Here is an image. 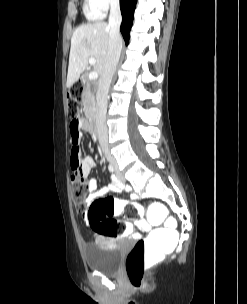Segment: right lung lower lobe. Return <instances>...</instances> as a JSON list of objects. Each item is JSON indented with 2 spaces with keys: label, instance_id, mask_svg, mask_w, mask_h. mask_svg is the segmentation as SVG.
Listing matches in <instances>:
<instances>
[{
  "label": "right lung lower lobe",
  "instance_id": "1",
  "mask_svg": "<svg viewBox=\"0 0 247 304\" xmlns=\"http://www.w3.org/2000/svg\"><path fill=\"white\" fill-rule=\"evenodd\" d=\"M136 2L137 0H120V9L122 14V24L120 30L126 44L129 42V32L132 26Z\"/></svg>",
  "mask_w": 247,
  "mask_h": 304
}]
</instances>
